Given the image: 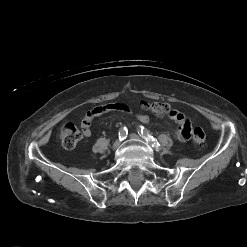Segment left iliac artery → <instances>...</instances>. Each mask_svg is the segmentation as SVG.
Here are the masks:
<instances>
[{
    "instance_id": "left-iliac-artery-1",
    "label": "left iliac artery",
    "mask_w": 247,
    "mask_h": 247,
    "mask_svg": "<svg viewBox=\"0 0 247 247\" xmlns=\"http://www.w3.org/2000/svg\"><path fill=\"white\" fill-rule=\"evenodd\" d=\"M138 133L156 150L159 151L161 149L160 144L158 141L149 134L148 130L140 126L138 129Z\"/></svg>"
}]
</instances>
